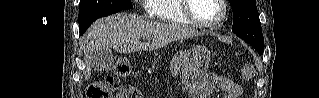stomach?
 Segmentation results:
<instances>
[{"instance_id": "stomach-1", "label": "stomach", "mask_w": 319, "mask_h": 98, "mask_svg": "<svg viewBox=\"0 0 319 98\" xmlns=\"http://www.w3.org/2000/svg\"><path fill=\"white\" fill-rule=\"evenodd\" d=\"M182 66V82L192 96L201 94L202 78L207 71L210 52L203 46H196L186 52Z\"/></svg>"}]
</instances>
